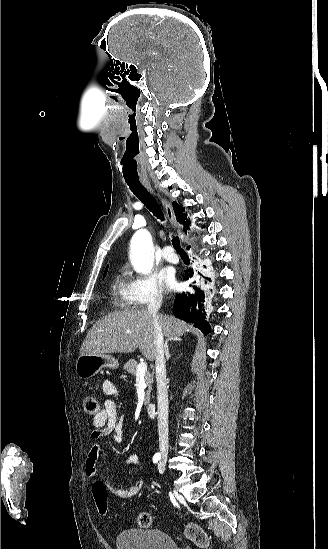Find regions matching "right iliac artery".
Listing matches in <instances>:
<instances>
[{
    "mask_svg": "<svg viewBox=\"0 0 328 549\" xmlns=\"http://www.w3.org/2000/svg\"><path fill=\"white\" fill-rule=\"evenodd\" d=\"M161 458V455L159 453H156L154 456H153V462L154 463H157Z\"/></svg>",
    "mask_w": 328,
    "mask_h": 549,
    "instance_id": "obj_1",
    "label": "right iliac artery"
}]
</instances>
